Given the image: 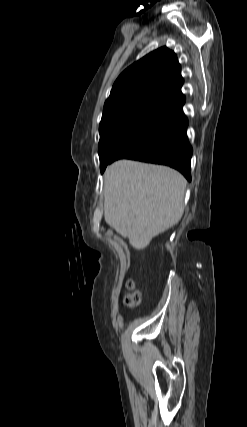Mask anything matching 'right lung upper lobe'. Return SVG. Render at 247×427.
<instances>
[{
    "label": "right lung upper lobe",
    "mask_w": 247,
    "mask_h": 427,
    "mask_svg": "<svg viewBox=\"0 0 247 427\" xmlns=\"http://www.w3.org/2000/svg\"><path fill=\"white\" fill-rule=\"evenodd\" d=\"M182 85L176 54L166 47L159 48L120 74L105 102L103 115L132 108L153 111L182 94Z\"/></svg>",
    "instance_id": "right-lung-upper-lobe-1"
}]
</instances>
